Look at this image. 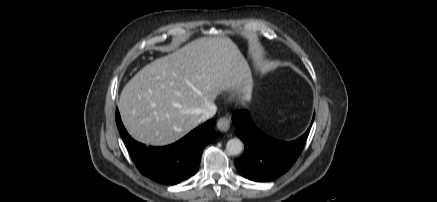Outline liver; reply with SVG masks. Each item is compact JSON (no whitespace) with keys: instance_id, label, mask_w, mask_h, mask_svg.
Returning a JSON list of instances; mask_svg holds the SVG:
<instances>
[{"instance_id":"1","label":"liver","mask_w":437,"mask_h":202,"mask_svg":"<svg viewBox=\"0 0 437 202\" xmlns=\"http://www.w3.org/2000/svg\"><path fill=\"white\" fill-rule=\"evenodd\" d=\"M249 65L227 37H201L143 67L123 88L118 108L129 134L153 146L198 126L204 109L228 90L249 95Z\"/></svg>"}]
</instances>
